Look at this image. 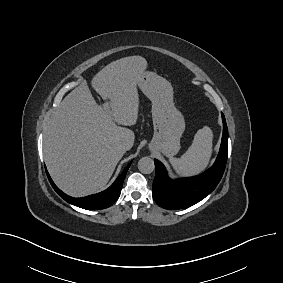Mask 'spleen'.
Masks as SVG:
<instances>
[{"label": "spleen", "instance_id": "spleen-1", "mask_svg": "<svg viewBox=\"0 0 283 283\" xmlns=\"http://www.w3.org/2000/svg\"><path fill=\"white\" fill-rule=\"evenodd\" d=\"M212 142V130L208 126L199 129L192 145L181 158L169 159L175 172L180 176H193L205 170L212 155Z\"/></svg>", "mask_w": 283, "mask_h": 283}]
</instances>
